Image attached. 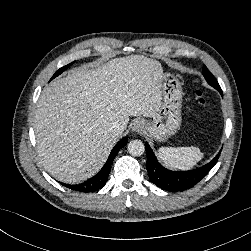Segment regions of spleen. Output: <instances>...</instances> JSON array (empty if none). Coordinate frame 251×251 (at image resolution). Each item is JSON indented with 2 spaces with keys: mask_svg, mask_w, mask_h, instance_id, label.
Listing matches in <instances>:
<instances>
[{
  "mask_svg": "<svg viewBox=\"0 0 251 251\" xmlns=\"http://www.w3.org/2000/svg\"><path fill=\"white\" fill-rule=\"evenodd\" d=\"M159 159L168 167L179 170H189L203 158V153L197 147H161Z\"/></svg>",
  "mask_w": 251,
  "mask_h": 251,
  "instance_id": "3e777b00",
  "label": "spleen"
}]
</instances>
